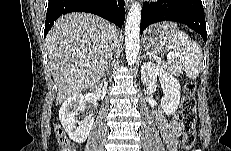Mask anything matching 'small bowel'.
<instances>
[{
  "mask_svg": "<svg viewBox=\"0 0 231 151\" xmlns=\"http://www.w3.org/2000/svg\"><path fill=\"white\" fill-rule=\"evenodd\" d=\"M160 134L167 144L169 151H175L177 147V140L181 133V126L174 120H167L162 112L158 109L154 111Z\"/></svg>",
  "mask_w": 231,
  "mask_h": 151,
  "instance_id": "obj_1",
  "label": "small bowel"
}]
</instances>
